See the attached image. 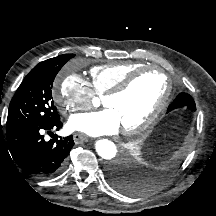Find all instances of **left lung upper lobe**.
<instances>
[{"label":"left lung upper lobe","mask_w":216,"mask_h":216,"mask_svg":"<svg viewBox=\"0 0 216 216\" xmlns=\"http://www.w3.org/2000/svg\"><path fill=\"white\" fill-rule=\"evenodd\" d=\"M182 107H186L187 109H189L192 112H194L196 110L195 102L190 95H187V98L185 100V104ZM141 191L142 190L134 187L130 192H128V194H135V193H139Z\"/></svg>","instance_id":"obj_1"}]
</instances>
